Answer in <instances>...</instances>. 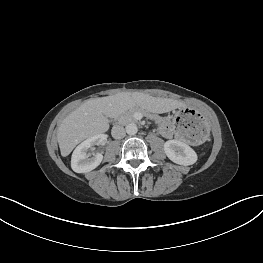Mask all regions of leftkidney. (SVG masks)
<instances>
[{
  "mask_svg": "<svg viewBox=\"0 0 263 263\" xmlns=\"http://www.w3.org/2000/svg\"><path fill=\"white\" fill-rule=\"evenodd\" d=\"M167 157L179 165H192L197 161L196 152L186 143L179 140H168L164 144Z\"/></svg>",
  "mask_w": 263,
  "mask_h": 263,
  "instance_id": "left-kidney-1",
  "label": "left kidney"
}]
</instances>
